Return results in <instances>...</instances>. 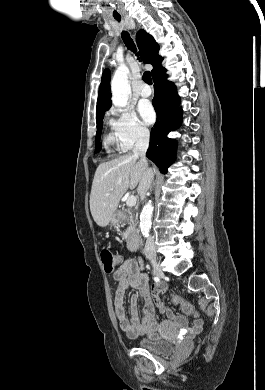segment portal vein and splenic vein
<instances>
[{
    "label": "portal vein and splenic vein",
    "instance_id": "portal-vein-and-splenic-vein-1",
    "mask_svg": "<svg viewBox=\"0 0 265 390\" xmlns=\"http://www.w3.org/2000/svg\"><path fill=\"white\" fill-rule=\"evenodd\" d=\"M136 201H137L136 197L133 196V195H131V196H129V197L127 198L126 204H127V206H129V207H133V206L136 205Z\"/></svg>",
    "mask_w": 265,
    "mask_h": 390
}]
</instances>
